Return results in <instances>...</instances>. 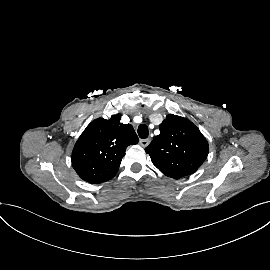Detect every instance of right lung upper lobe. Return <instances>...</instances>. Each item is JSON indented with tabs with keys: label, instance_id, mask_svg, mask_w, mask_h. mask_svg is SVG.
<instances>
[{
	"label": "right lung upper lobe",
	"instance_id": "obj_1",
	"mask_svg": "<svg viewBox=\"0 0 270 270\" xmlns=\"http://www.w3.org/2000/svg\"><path fill=\"white\" fill-rule=\"evenodd\" d=\"M121 115L92 121L77 140L72 166L81 179L102 183L113 178L129 145L138 143L131 124L120 123Z\"/></svg>",
	"mask_w": 270,
	"mask_h": 270
}]
</instances>
